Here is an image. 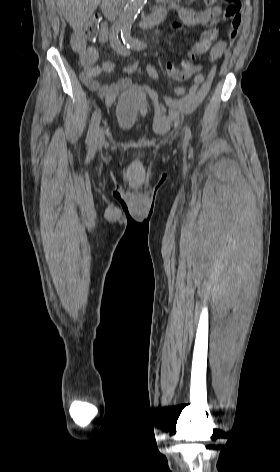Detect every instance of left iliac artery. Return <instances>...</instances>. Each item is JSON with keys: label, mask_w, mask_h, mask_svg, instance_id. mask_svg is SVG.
Listing matches in <instances>:
<instances>
[{"label": "left iliac artery", "mask_w": 280, "mask_h": 472, "mask_svg": "<svg viewBox=\"0 0 280 472\" xmlns=\"http://www.w3.org/2000/svg\"><path fill=\"white\" fill-rule=\"evenodd\" d=\"M131 26L126 25L122 28L121 30V38L122 41L125 45H127L129 48L133 49H144L146 47V44L139 41L138 39L132 38L131 35ZM191 137V132L188 127H186V132H185V138L189 139Z\"/></svg>", "instance_id": "left-iliac-artery-1"}]
</instances>
